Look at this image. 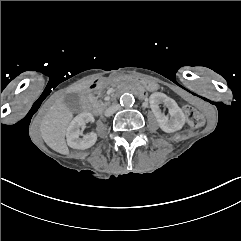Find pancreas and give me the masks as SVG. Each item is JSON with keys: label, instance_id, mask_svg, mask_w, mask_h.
<instances>
[{"label": "pancreas", "instance_id": "obj_1", "mask_svg": "<svg viewBox=\"0 0 241 241\" xmlns=\"http://www.w3.org/2000/svg\"><path fill=\"white\" fill-rule=\"evenodd\" d=\"M90 101H91L93 107L98 108L99 111L103 110L109 104L108 102H106V103L100 102V105L96 106V103H95L96 99L93 97L90 98Z\"/></svg>", "mask_w": 241, "mask_h": 241}]
</instances>
